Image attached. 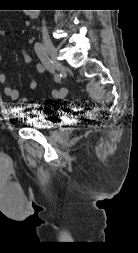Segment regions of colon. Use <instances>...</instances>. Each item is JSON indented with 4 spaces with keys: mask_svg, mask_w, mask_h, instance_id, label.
I'll list each match as a JSON object with an SVG mask.
<instances>
[{
    "mask_svg": "<svg viewBox=\"0 0 138 253\" xmlns=\"http://www.w3.org/2000/svg\"><path fill=\"white\" fill-rule=\"evenodd\" d=\"M66 95H67V88L65 87H62L53 91V96L58 99L63 98Z\"/></svg>",
    "mask_w": 138,
    "mask_h": 253,
    "instance_id": "1",
    "label": "colon"
}]
</instances>
